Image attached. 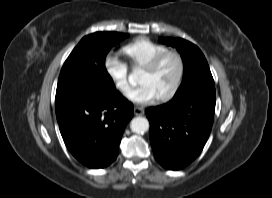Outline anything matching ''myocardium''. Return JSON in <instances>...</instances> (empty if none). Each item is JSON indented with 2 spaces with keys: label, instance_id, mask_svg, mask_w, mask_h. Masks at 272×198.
I'll return each instance as SVG.
<instances>
[{
  "label": "myocardium",
  "instance_id": "myocardium-1",
  "mask_svg": "<svg viewBox=\"0 0 272 198\" xmlns=\"http://www.w3.org/2000/svg\"><path fill=\"white\" fill-rule=\"evenodd\" d=\"M170 56L175 57L178 62V74H177L176 80H175L173 86L171 87V89L168 92H166L165 94L157 97V100H159V101H167V100L171 99L172 97H174L176 95V93L179 91V89L183 83V79H184V75H185L184 59L179 52L173 51V50H167V51L161 52L158 55H156L147 65H145L143 67L144 70H146L148 72H153L163 63V61L166 58H168Z\"/></svg>",
  "mask_w": 272,
  "mask_h": 198
}]
</instances>
